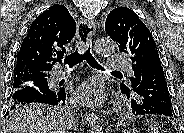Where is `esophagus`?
Segmentation results:
<instances>
[{"label":"esophagus","mask_w":184,"mask_h":133,"mask_svg":"<svg viewBox=\"0 0 184 133\" xmlns=\"http://www.w3.org/2000/svg\"><path fill=\"white\" fill-rule=\"evenodd\" d=\"M96 32V24L94 21L81 19L77 26V45L83 50L86 45L91 42V38ZM97 116L94 113H86L85 120L89 126H93L97 122Z\"/></svg>","instance_id":"34e87169"}]
</instances>
